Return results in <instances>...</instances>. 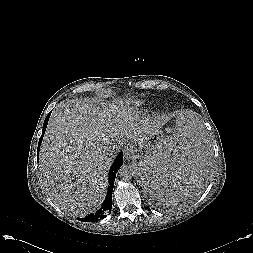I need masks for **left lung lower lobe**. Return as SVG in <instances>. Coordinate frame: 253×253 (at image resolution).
Wrapping results in <instances>:
<instances>
[{
	"instance_id": "1",
	"label": "left lung lower lobe",
	"mask_w": 253,
	"mask_h": 253,
	"mask_svg": "<svg viewBox=\"0 0 253 253\" xmlns=\"http://www.w3.org/2000/svg\"><path fill=\"white\" fill-rule=\"evenodd\" d=\"M190 171L193 172L191 169ZM146 178L150 181V192L157 195L160 198L159 200L164 201V198L160 196L161 192L171 188L170 184L173 182L172 178L171 180L168 177L166 178L164 173L155 168L151 169L150 172L147 173Z\"/></svg>"
}]
</instances>
